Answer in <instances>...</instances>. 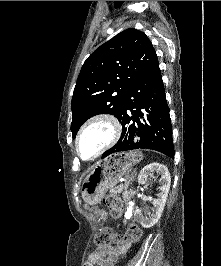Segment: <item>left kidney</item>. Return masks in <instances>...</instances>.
<instances>
[{
  "label": "left kidney",
  "instance_id": "5707ae66",
  "mask_svg": "<svg viewBox=\"0 0 221 266\" xmlns=\"http://www.w3.org/2000/svg\"><path fill=\"white\" fill-rule=\"evenodd\" d=\"M153 173L161 175L160 178L161 186L159 188L160 193L158 194V197L152 201L153 208H152V213L149 214V217L143 216L141 213H139V219L141 225L144 228H150L154 226L160 219L168 197L170 183H171V177L167 167L160 163L153 162L146 165L141 170L138 176L139 184L145 185L147 183L148 177L151 176Z\"/></svg>",
  "mask_w": 221,
  "mask_h": 266
}]
</instances>
